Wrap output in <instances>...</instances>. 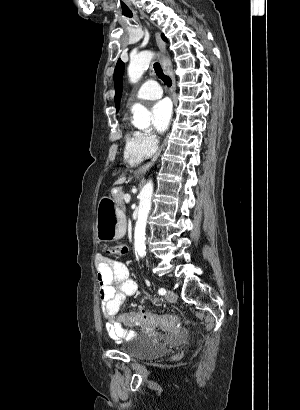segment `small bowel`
<instances>
[{
	"mask_svg": "<svg viewBox=\"0 0 300 410\" xmlns=\"http://www.w3.org/2000/svg\"><path fill=\"white\" fill-rule=\"evenodd\" d=\"M95 269L102 311L107 319L105 327L109 336L117 342L132 339L135 332L118 322L116 316L124 300L136 293V281L130 277L123 263L104 255L96 257Z\"/></svg>",
	"mask_w": 300,
	"mask_h": 410,
	"instance_id": "small-bowel-1",
	"label": "small bowel"
}]
</instances>
